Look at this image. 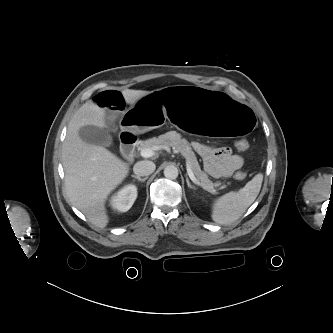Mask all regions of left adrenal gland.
<instances>
[{"label":"left adrenal gland","mask_w":333,"mask_h":333,"mask_svg":"<svg viewBox=\"0 0 333 333\" xmlns=\"http://www.w3.org/2000/svg\"><path fill=\"white\" fill-rule=\"evenodd\" d=\"M186 182H187V185H188L189 188H194V187H192V185H191V183H190V181H189L188 178H186Z\"/></svg>","instance_id":"a2214340"}]
</instances>
